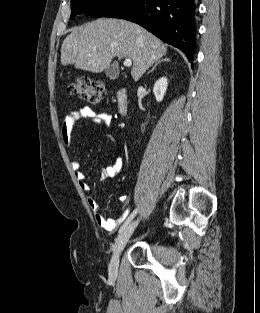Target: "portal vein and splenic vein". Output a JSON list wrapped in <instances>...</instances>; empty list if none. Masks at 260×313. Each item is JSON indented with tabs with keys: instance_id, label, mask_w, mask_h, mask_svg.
Returning a JSON list of instances; mask_svg holds the SVG:
<instances>
[{
	"instance_id": "obj_1",
	"label": "portal vein and splenic vein",
	"mask_w": 260,
	"mask_h": 313,
	"mask_svg": "<svg viewBox=\"0 0 260 313\" xmlns=\"http://www.w3.org/2000/svg\"><path fill=\"white\" fill-rule=\"evenodd\" d=\"M123 64L126 67H131L132 66V60L127 58V59L124 60Z\"/></svg>"
}]
</instances>
